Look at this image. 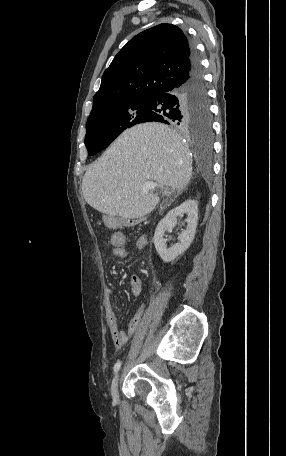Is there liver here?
<instances>
[{
    "label": "liver",
    "instance_id": "1",
    "mask_svg": "<svg viewBox=\"0 0 286 456\" xmlns=\"http://www.w3.org/2000/svg\"><path fill=\"white\" fill-rule=\"evenodd\" d=\"M192 176L188 145L171 127L144 123L123 132L86 171L82 190L86 202L101 213L125 219L143 217L159 202L142 191L147 181L166 186L169 196L182 191Z\"/></svg>",
    "mask_w": 286,
    "mask_h": 456
}]
</instances>
